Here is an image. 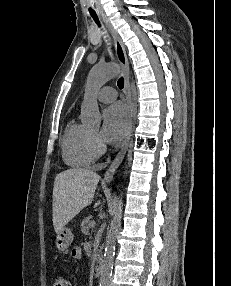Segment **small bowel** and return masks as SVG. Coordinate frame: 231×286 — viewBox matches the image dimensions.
<instances>
[{"instance_id":"1","label":"small bowel","mask_w":231,"mask_h":286,"mask_svg":"<svg viewBox=\"0 0 231 286\" xmlns=\"http://www.w3.org/2000/svg\"><path fill=\"white\" fill-rule=\"evenodd\" d=\"M71 256L74 259H79L82 256V250L79 247H74L71 251Z\"/></svg>"}]
</instances>
